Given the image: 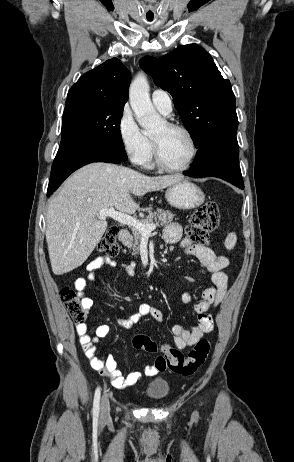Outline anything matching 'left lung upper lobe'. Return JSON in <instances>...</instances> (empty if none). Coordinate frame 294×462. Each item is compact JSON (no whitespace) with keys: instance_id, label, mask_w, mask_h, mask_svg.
<instances>
[{"instance_id":"5c2ea615","label":"left lung upper lobe","mask_w":294,"mask_h":462,"mask_svg":"<svg viewBox=\"0 0 294 462\" xmlns=\"http://www.w3.org/2000/svg\"><path fill=\"white\" fill-rule=\"evenodd\" d=\"M140 66L154 82L173 96L175 108L197 149L228 134H236L238 118L229 80L211 55L197 44L180 46L155 59L146 56Z\"/></svg>"}]
</instances>
